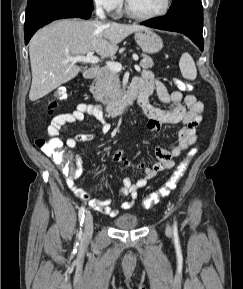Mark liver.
I'll return each mask as SVG.
<instances>
[{
    "label": "liver",
    "mask_w": 243,
    "mask_h": 289,
    "mask_svg": "<svg viewBox=\"0 0 243 289\" xmlns=\"http://www.w3.org/2000/svg\"><path fill=\"white\" fill-rule=\"evenodd\" d=\"M143 29L146 27L97 19H62L39 29L29 43L32 71L29 99L38 100L78 75L80 67L68 62V56L96 52L102 57H112L118 43Z\"/></svg>",
    "instance_id": "1"
}]
</instances>
